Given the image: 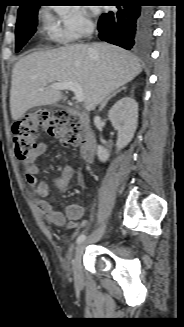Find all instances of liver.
I'll use <instances>...</instances> for the list:
<instances>
[{
	"instance_id": "1",
	"label": "liver",
	"mask_w": 184,
	"mask_h": 327,
	"mask_svg": "<svg viewBox=\"0 0 184 327\" xmlns=\"http://www.w3.org/2000/svg\"><path fill=\"white\" fill-rule=\"evenodd\" d=\"M130 52L103 42L74 44L21 58L12 71L10 109L13 120L29 109L66 101L67 96L50 87L53 83H77L90 112L116 89L141 73ZM44 88L43 91H39Z\"/></svg>"
}]
</instances>
